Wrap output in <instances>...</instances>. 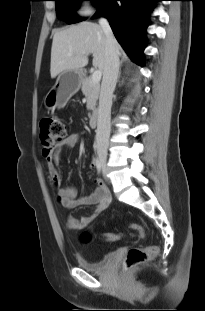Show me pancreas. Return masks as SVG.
<instances>
[{
	"instance_id": "1",
	"label": "pancreas",
	"mask_w": 205,
	"mask_h": 311,
	"mask_svg": "<svg viewBox=\"0 0 205 311\" xmlns=\"http://www.w3.org/2000/svg\"><path fill=\"white\" fill-rule=\"evenodd\" d=\"M82 93L86 97L87 101V109L95 111L96 109V102L98 99L99 91H100V84L99 83H92L91 77H85L81 81Z\"/></svg>"
}]
</instances>
